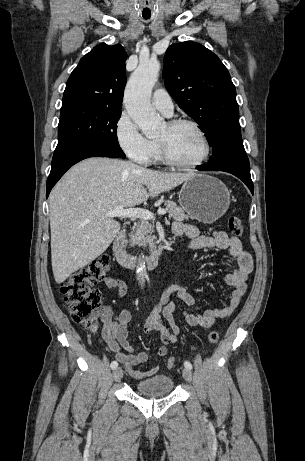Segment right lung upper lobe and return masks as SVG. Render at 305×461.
Segmentation results:
<instances>
[{
	"label": "right lung upper lobe",
	"mask_w": 305,
	"mask_h": 461,
	"mask_svg": "<svg viewBox=\"0 0 305 461\" xmlns=\"http://www.w3.org/2000/svg\"><path fill=\"white\" fill-rule=\"evenodd\" d=\"M126 59L127 53L120 44L101 43L94 47L71 73L62 108L85 104L121 110Z\"/></svg>",
	"instance_id": "cb5924a9"
}]
</instances>
